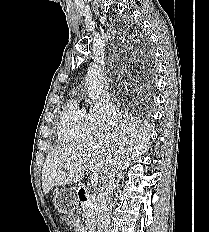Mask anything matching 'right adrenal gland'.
Returning a JSON list of instances; mask_svg holds the SVG:
<instances>
[{"mask_svg": "<svg viewBox=\"0 0 209 232\" xmlns=\"http://www.w3.org/2000/svg\"><path fill=\"white\" fill-rule=\"evenodd\" d=\"M123 178H124L123 173L119 172L115 180L114 188H116L119 185L120 180Z\"/></svg>", "mask_w": 209, "mask_h": 232, "instance_id": "2a0ac1e0", "label": "right adrenal gland"}]
</instances>
